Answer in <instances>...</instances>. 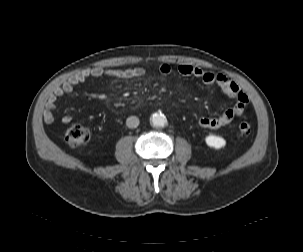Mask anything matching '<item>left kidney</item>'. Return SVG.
<instances>
[{"label":"left kidney","instance_id":"obj_1","mask_svg":"<svg viewBox=\"0 0 303 252\" xmlns=\"http://www.w3.org/2000/svg\"><path fill=\"white\" fill-rule=\"evenodd\" d=\"M205 142L208 146L213 147L215 149H220L226 145V141L224 138L212 134L208 135L205 138Z\"/></svg>","mask_w":303,"mask_h":252}]
</instances>
